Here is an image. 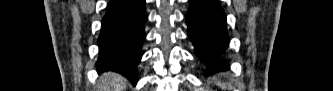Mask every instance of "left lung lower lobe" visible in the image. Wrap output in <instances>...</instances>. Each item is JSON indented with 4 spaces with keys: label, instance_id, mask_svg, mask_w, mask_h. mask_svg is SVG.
Instances as JSON below:
<instances>
[{
    "label": "left lung lower lobe",
    "instance_id": "left-lung-lower-lobe-1",
    "mask_svg": "<svg viewBox=\"0 0 333 91\" xmlns=\"http://www.w3.org/2000/svg\"><path fill=\"white\" fill-rule=\"evenodd\" d=\"M195 53L211 71L228 68L223 53L228 46L226 15L219 0H190L185 16Z\"/></svg>",
    "mask_w": 333,
    "mask_h": 91
}]
</instances>
